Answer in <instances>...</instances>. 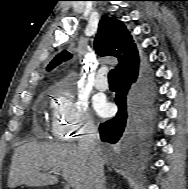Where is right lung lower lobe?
<instances>
[{"label": "right lung lower lobe", "instance_id": "obj_1", "mask_svg": "<svg viewBox=\"0 0 188 189\" xmlns=\"http://www.w3.org/2000/svg\"><path fill=\"white\" fill-rule=\"evenodd\" d=\"M138 70L132 74L118 77L115 102L118 105L117 115L100 124V137L103 142L117 143L121 138L128 139L137 148L146 145V139L153 127V91L148 81L146 91L135 98L134 107L127 112L126 94L131 85L137 79Z\"/></svg>", "mask_w": 188, "mask_h": 189}]
</instances>
